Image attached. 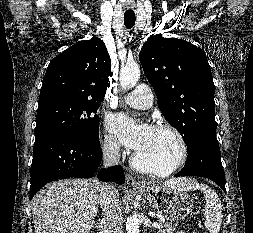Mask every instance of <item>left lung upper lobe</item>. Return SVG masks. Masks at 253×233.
Returning a JSON list of instances; mask_svg holds the SVG:
<instances>
[{"mask_svg":"<svg viewBox=\"0 0 253 233\" xmlns=\"http://www.w3.org/2000/svg\"><path fill=\"white\" fill-rule=\"evenodd\" d=\"M139 59L159 109L187 148L202 137L217 140L214 83L202 50L182 39L154 35L144 43Z\"/></svg>","mask_w":253,"mask_h":233,"instance_id":"5c2ea615","label":"left lung upper lobe"}]
</instances>
